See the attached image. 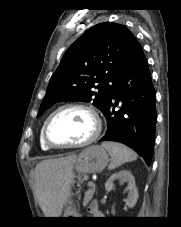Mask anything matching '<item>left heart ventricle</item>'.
Returning <instances> with one entry per match:
<instances>
[{
	"label": "left heart ventricle",
	"mask_w": 181,
	"mask_h": 227,
	"mask_svg": "<svg viewBox=\"0 0 181 227\" xmlns=\"http://www.w3.org/2000/svg\"><path fill=\"white\" fill-rule=\"evenodd\" d=\"M93 121L90 115L80 109H65L51 121L50 138L59 144L80 142L90 136Z\"/></svg>",
	"instance_id": "obj_1"
}]
</instances>
